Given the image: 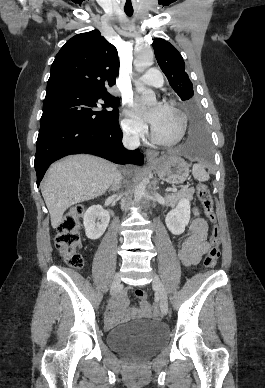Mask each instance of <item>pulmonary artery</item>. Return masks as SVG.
I'll return each mask as SVG.
<instances>
[{
  "instance_id": "1",
  "label": "pulmonary artery",
  "mask_w": 265,
  "mask_h": 388,
  "mask_svg": "<svg viewBox=\"0 0 265 388\" xmlns=\"http://www.w3.org/2000/svg\"><path fill=\"white\" fill-rule=\"evenodd\" d=\"M145 73L146 75L140 81L142 86H161L163 84L161 76L157 75L158 71L156 69H146Z\"/></svg>"
}]
</instances>
